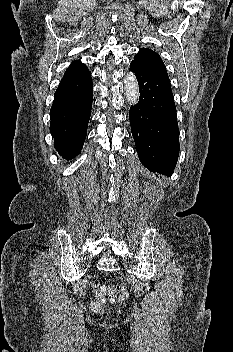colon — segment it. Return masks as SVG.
<instances>
[{"label": "colon", "instance_id": "colon-1", "mask_svg": "<svg viewBox=\"0 0 233 352\" xmlns=\"http://www.w3.org/2000/svg\"><path fill=\"white\" fill-rule=\"evenodd\" d=\"M91 290L97 298V300L92 303L94 311H102L108 303H120L125 301L128 297L127 289L123 285L118 284H94Z\"/></svg>", "mask_w": 233, "mask_h": 352}]
</instances>
